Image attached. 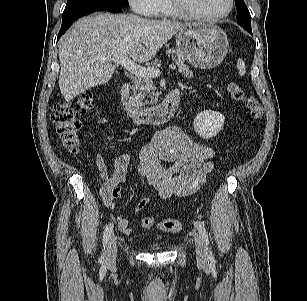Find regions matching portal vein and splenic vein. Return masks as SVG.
Returning a JSON list of instances; mask_svg holds the SVG:
<instances>
[{"mask_svg":"<svg viewBox=\"0 0 307 301\" xmlns=\"http://www.w3.org/2000/svg\"><path fill=\"white\" fill-rule=\"evenodd\" d=\"M106 59L122 65L127 71L134 74L135 76L153 78L158 77L161 73L158 67H143L131 60L128 55ZM169 68L175 70L176 66L174 64H170Z\"/></svg>","mask_w":307,"mask_h":301,"instance_id":"1","label":"portal vein and splenic vein"}]
</instances>
